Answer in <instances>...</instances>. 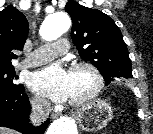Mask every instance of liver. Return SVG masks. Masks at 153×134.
I'll return each instance as SVG.
<instances>
[{"instance_id":"liver-1","label":"liver","mask_w":153,"mask_h":134,"mask_svg":"<svg viewBox=\"0 0 153 134\" xmlns=\"http://www.w3.org/2000/svg\"><path fill=\"white\" fill-rule=\"evenodd\" d=\"M0 134H17L14 130L0 127Z\"/></svg>"}]
</instances>
